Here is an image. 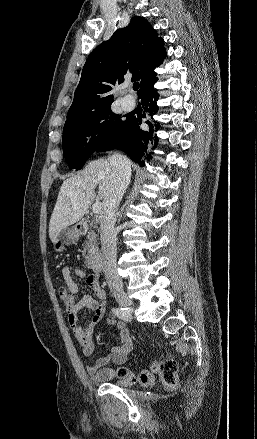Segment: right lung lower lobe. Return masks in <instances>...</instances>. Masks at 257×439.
<instances>
[{
  "label": "right lung lower lobe",
  "mask_w": 257,
  "mask_h": 439,
  "mask_svg": "<svg viewBox=\"0 0 257 439\" xmlns=\"http://www.w3.org/2000/svg\"><path fill=\"white\" fill-rule=\"evenodd\" d=\"M157 80L158 78L156 77L140 96L144 110L148 116H152L158 111L156 101L159 96L154 89V83ZM144 117H146L145 114ZM140 123L141 119L129 117L122 132L116 138L101 146L96 151L101 152L111 149H120L140 166H144V161H142L141 158L145 154L147 148H150L154 143H157V135L154 134V131H158L160 125L156 121L148 119L146 124L149 125V129L143 130L140 127ZM150 157L151 153L148 154V158Z\"/></svg>",
  "instance_id": "1"
}]
</instances>
